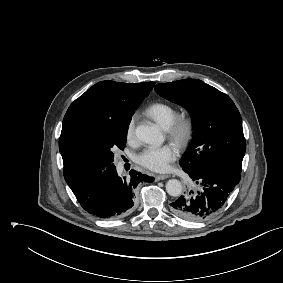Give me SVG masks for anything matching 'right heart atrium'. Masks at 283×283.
<instances>
[{"label": "right heart atrium", "instance_id": "d8ad5b80", "mask_svg": "<svg viewBox=\"0 0 283 283\" xmlns=\"http://www.w3.org/2000/svg\"><path fill=\"white\" fill-rule=\"evenodd\" d=\"M135 138V117H132L126 127L127 141H133Z\"/></svg>", "mask_w": 283, "mask_h": 283}]
</instances>
